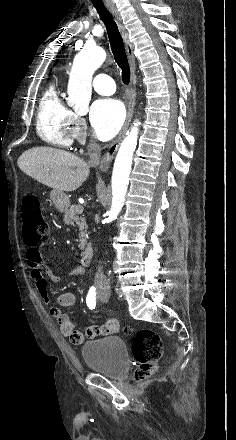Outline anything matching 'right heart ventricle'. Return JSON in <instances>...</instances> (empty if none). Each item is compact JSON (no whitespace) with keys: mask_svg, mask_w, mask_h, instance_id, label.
<instances>
[{"mask_svg":"<svg viewBox=\"0 0 236 440\" xmlns=\"http://www.w3.org/2000/svg\"><path fill=\"white\" fill-rule=\"evenodd\" d=\"M73 116L60 97L58 84H49L37 112V132L41 139L55 147H69L73 140Z\"/></svg>","mask_w":236,"mask_h":440,"instance_id":"e07e8e85","label":"right heart ventricle"}]
</instances>
